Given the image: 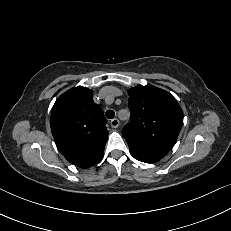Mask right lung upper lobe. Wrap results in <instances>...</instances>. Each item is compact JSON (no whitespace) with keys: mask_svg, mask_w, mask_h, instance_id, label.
<instances>
[{"mask_svg":"<svg viewBox=\"0 0 231 231\" xmlns=\"http://www.w3.org/2000/svg\"><path fill=\"white\" fill-rule=\"evenodd\" d=\"M107 120L93 101L92 90L75 87L55 102L50 125L61 154L75 166L88 168L98 163L104 153Z\"/></svg>","mask_w":231,"mask_h":231,"instance_id":"1","label":"right lung upper lobe"}]
</instances>
